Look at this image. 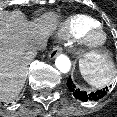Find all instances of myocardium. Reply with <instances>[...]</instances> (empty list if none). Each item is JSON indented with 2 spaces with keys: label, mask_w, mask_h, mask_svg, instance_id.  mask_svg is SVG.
<instances>
[{
  "label": "myocardium",
  "mask_w": 117,
  "mask_h": 117,
  "mask_svg": "<svg viewBox=\"0 0 117 117\" xmlns=\"http://www.w3.org/2000/svg\"><path fill=\"white\" fill-rule=\"evenodd\" d=\"M79 44L84 49H95L103 46L108 39L106 30L100 25L87 28L79 37Z\"/></svg>",
  "instance_id": "1"
}]
</instances>
